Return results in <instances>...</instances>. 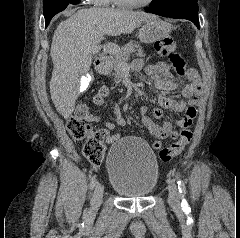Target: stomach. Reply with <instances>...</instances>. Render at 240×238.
Returning a JSON list of instances; mask_svg holds the SVG:
<instances>
[{
	"label": "stomach",
	"instance_id": "1",
	"mask_svg": "<svg viewBox=\"0 0 240 238\" xmlns=\"http://www.w3.org/2000/svg\"><path fill=\"white\" fill-rule=\"evenodd\" d=\"M171 32V24L159 18L147 21L139 30V39L142 43H154Z\"/></svg>",
	"mask_w": 240,
	"mask_h": 238
}]
</instances>
